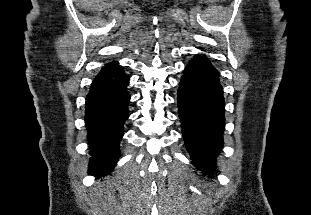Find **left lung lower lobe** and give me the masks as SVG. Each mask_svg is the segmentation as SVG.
<instances>
[{
  "mask_svg": "<svg viewBox=\"0 0 311 215\" xmlns=\"http://www.w3.org/2000/svg\"><path fill=\"white\" fill-rule=\"evenodd\" d=\"M224 106L219 73L205 55L195 56L180 80L178 108L187 150L205 174L213 171L223 145Z\"/></svg>",
  "mask_w": 311,
  "mask_h": 215,
  "instance_id": "obj_1",
  "label": "left lung lower lobe"
}]
</instances>
